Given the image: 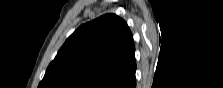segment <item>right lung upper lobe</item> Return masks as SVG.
<instances>
[{"label": "right lung upper lobe", "instance_id": "1", "mask_svg": "<svg viewBox=\"0 0 223 88\" xmlns=\"http://www.w3.org/2000/svg\"><path fill=\"white\" fill-rule=\"evenodd\" d=\"M132 33L115 14L81 25L63 44L38 88H131Z\"/></svg>", "mask_w": 223, "mask_h": 88}]
</instances>
